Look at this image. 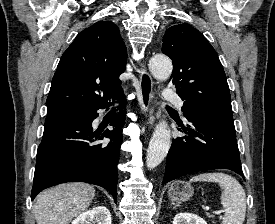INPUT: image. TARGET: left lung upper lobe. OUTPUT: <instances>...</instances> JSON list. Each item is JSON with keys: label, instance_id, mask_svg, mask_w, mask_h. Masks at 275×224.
Masks as SVG:
<instances>
[{"label": "left lung upper lobe", "instance_id": "5c2ea615", "mask_svg": "<svg viewBox=\"0 0 275 224\" xmlns=\"http://www.w3.org/2000/svg\"><path fill=\"white\" fill-rule=\"evenodd\" d=\"M162 52L173 62L170 78L184 101L185 117L209 114L233 119L222 64L207 39L187 23L166 30Z\"/></svg>", "mask_w": 275, "mask_h": 224}]
</instances>
